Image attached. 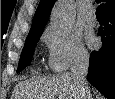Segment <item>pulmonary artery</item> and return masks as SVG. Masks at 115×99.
Here are the masks:
<instances>
[{"label": "pulmonary artery", "instance_id": "obj_1", "mask_svg": "<svg viewBox=\"0 0 115 99\" xmlns=\"http://www.w3.org/2000/svg\"><path fill=\"white\" fill-rule=\"evenodd\" d=\"M87 22L90 25H95L97 23V18L94 15L93 12H91L88 16H87Z\"/></svg>", "mask_w": 115, "mask_h": 99}]
</instances>
